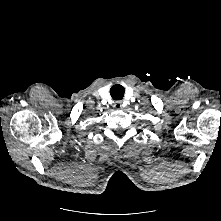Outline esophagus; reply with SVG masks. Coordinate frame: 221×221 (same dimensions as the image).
<instances>
[{
	"instance_id": "34e87169",
	"label": "esophagus",
	"mask_w": 221,
	"mask_h": 221,
	"mask_svg": "<svg viewBox=\"0 0 221 221\" xmlns=\"http://www.w3.org/2000/svg\"><path fill=\"white\" fill-rule=\"evenodd\" d=\"M114 108L117 109V110L122 109V103L120 101H116L114 103Z\"/></svg>"
}]
</instances>
